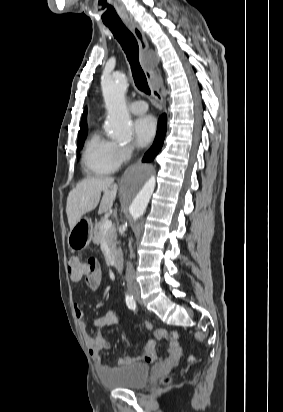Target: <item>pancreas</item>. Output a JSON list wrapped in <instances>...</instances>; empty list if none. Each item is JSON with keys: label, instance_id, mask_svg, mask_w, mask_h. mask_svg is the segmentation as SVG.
I'll return each instance as SVG.
<instances>
[{"label": "pancreas", "instance_id": "cf45deb5", "mask_svg": "<svg viewBox=\"0 0 283 412\" xmlns=\"http://www.w3.org/2000/svg\"><path fill=\"white\" fill-rule=\"evenodd\" d=\"M104 221H100L95 224L94 229H93V242L95 244H100L103 239L106 240L109 249L112 254H114L116 250V244H117V234L116 230L114 227H111L107 231L102 230V225Z\"/></svg>", "mask_w": 283, "mask_h": 412}]
</instances>
